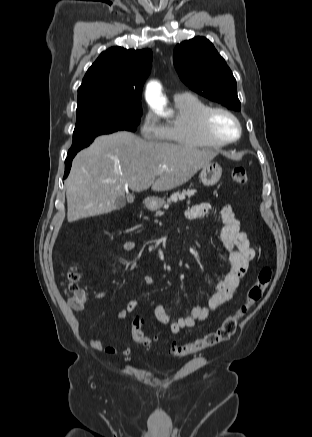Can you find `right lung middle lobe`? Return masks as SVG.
<instances>
[{
    "mask_svg": "<svg viewBox=\"0 0 312 437\" xmlns=\"http://www.w3.org/2000/svg\"><path fill=\"white\" fill-rule=\"evenodd\" d=\"M73 144L68 154L77 153L95 137L117 131H135L142 115L141 104L134 106L88 105L77 108Z\"/></svg>",
    "mask_w": 312,
    "mask_h": 437,
    "instance_id": "dd1d6c3e",
    "label": "right lung middle lobe"
}]
</instances>
